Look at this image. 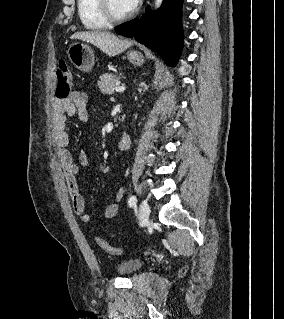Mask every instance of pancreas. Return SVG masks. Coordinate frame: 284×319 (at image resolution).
<instances>
[{
	"label": "pancreas",
	"mask_w": 284,
	"mask_h": 319,
	"mask_svg": "<svg viewBox=\"0 0 284 319\" xmlns=\"http://www.w3.org/2000/svg\"><path fill=\"white\" fill-rule=\"evenodd\" d=\"M119 79L112 74H103L100 76V81H98V87L103 94H113L116 85L120 83Z\"/></svg>",
	"instance_id": "obj_1"
}]
</instances>
